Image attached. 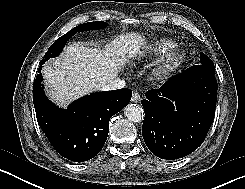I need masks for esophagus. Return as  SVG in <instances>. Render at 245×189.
I'll return each instance as SVG.
<instances>
[{
    "label": "esophagus",
    "mask_w": 245,
    "mask_h": 189,
    "mask_svg": "<svg viewBox=\"0 0 245 189\" xmlns=\"http://www.w3.org/2000/svg\"><path fill=\"white\" fill-rule=\"evenodd\" d=\"M141 100V96L138 92H133L131 101L134 103H138Z\"/></svg>",
    "instance_id": "34e87169"
}]
</instances>
